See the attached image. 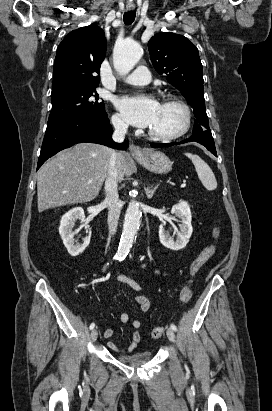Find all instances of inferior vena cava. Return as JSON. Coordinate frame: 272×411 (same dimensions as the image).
Instances as JSON below:
<instances>
[{
  "label": "inferior vena cava",
  "instance_id": "1",
  "mask_svg": "<svg viewBox=\"0 0 272 411\" xmlns=\"http://www.w3.org/2000/svg\"><path fill=\"white\" fill-rule=\"evenodd\" d=\"M114 127L113 139L116 142H123L127 133L128 124L118 117L112 118ZM116 151H112L107 176L105 180V200L104 203L108 206V230L109 236H113L117 231L118 220L121 212V202L118 195V172H117Z\"/></svg>",
  "mask_w": 272,
  "mask_h": 411
}]
</instances>
